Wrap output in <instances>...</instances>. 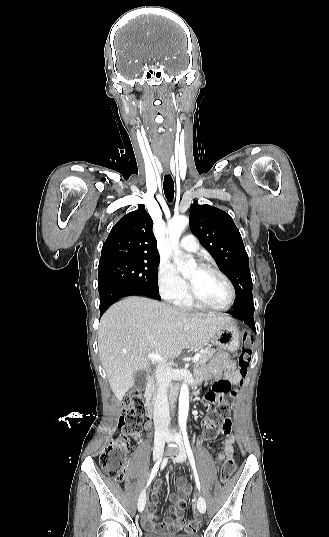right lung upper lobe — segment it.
Wrapping results in <instances>:
<instances>
[{"instance_id":"1","label":"right lung upper lobe","mask_w":329,"mask_h":537,"mask_svg":"<svg viewBox=\"0 0 329 537\" xmlns=\"http://www.w3.org/2000/svg\"><path fill=\"white\" fill-rule=\"evenodd\" d=\"M152 226L144 204H139L136 211L123 216L112 228L103 244L99 265L159 258Z\"/></svg>"}]
</instances>
